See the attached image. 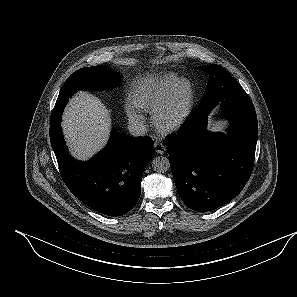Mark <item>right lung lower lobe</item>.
I'll use <instances>...</instances> for the list:
<instances>
[{"mask_svg":"<svg viewBox=\"0 0 297 297\" xmlns=\"http://www.w3.org/2000/svg\"><path fill=\"white\" fill-rule=\"evenodd\" d=\"M59 112L50 126V141L61 176L80 201L108 216H122L137 203L146 165L153 156L152 139L113 131L106 147L87 162L68 153Z\"/></svg>","mask_w":297,"mask_h":297,"instance_id":"obj_1","label":"right lung lower lobe"}]
</instances>
